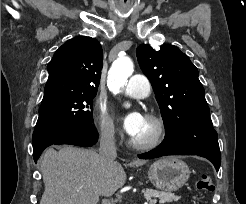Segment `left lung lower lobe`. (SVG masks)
<instances>
[{"label":"left lung lower lobe","instance_id":"obj_1","mask_svg":"<svg viewBox=\"0 0 246 204\" xmlns=\"http://www.w3.org/2000/svg\"><path fill=\"white\" fill-rule=\"evenodd\" d=\"M165 155H198L213 163L219 170L221 155L217 133L211 119L194 120L177 125L166 133L162 144L156 149L139 155L141 159H152Z\"/></svg>","mask_w":246,"mask_h":204}]
</instances>
